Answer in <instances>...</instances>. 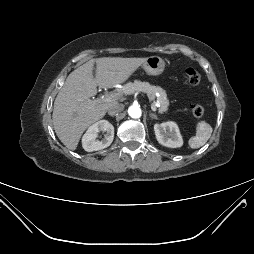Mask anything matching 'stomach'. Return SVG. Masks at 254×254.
Masks as SVG:
<instances>
[{
	"label": "stomach",
	"instance_id": "obj_1",
	"mask_svg": "<svg viewBox=\"0 0 254 254\" xmlns=\"http://www.w3.org/2000/svg\"><path fill=\"white\" fill-rule=\"evenodd\" d=\"M141 67L147 74L157 76L163 73L165 62L159 56H150L144 61Z\"/></svg>",
	"mask_w": 254,
	"mask_h": 254
}]
</instances>
